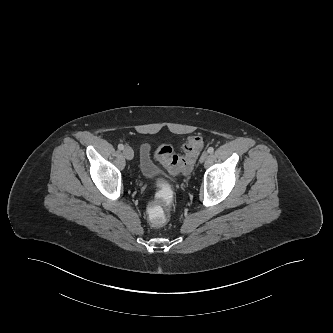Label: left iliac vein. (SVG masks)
Returning a JSON list of instances; mask_svg holds the SVG:
<instances>
[{"mask_svg":"<svg viewBox=\"0 0 333 333\" xmlns=\"http://www.w3.org/2000/svg\"><path fill=\"white\" fill-rule=\"evenodd\" d=\"M209 155L207 152H204L200 158V162L203 163L208 159Z\"/></svg>","mask_w":333,"mask_h":333,"instance_id":"4c4485c4","label":"left iliac vein"}]
</instances>
